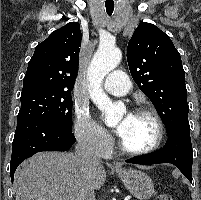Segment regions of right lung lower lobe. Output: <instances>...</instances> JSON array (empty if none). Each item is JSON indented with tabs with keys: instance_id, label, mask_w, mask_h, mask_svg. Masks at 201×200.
I'll return each instance as SVG.
<instances>
[{
	"instance_id": "right-lung-lower-lobe-1",
	"label": "right lung lower lobe",
	"mask_w": 201,
	"mask_h": 200,
	"mask_svg": "<svg viewBox=\"0 0 201 200\" xmlns=\"http://www.w3.org/2000/svg\"><path fill=\"white\" fill-rule=\"evenodd\" d=\"M76 141L71 129L45 118L28 119L17 123L10 162V175L20 163L41 151H66Z\"/></svg>"
}]
</instances>
